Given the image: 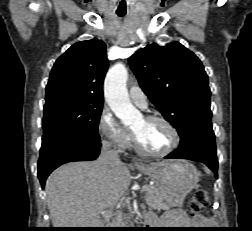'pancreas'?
I'll use <instances>...</instances> for the list:
<instances>
[{
	"label": "pancreas",
	"mask_w": 252,
	"mask_h": 231,
	"mask_svg": "<svg viewBox=\"0 0 252 231\" xmlns=\"http://www.w3.org/2000/svg\"><path fill=\"white\" fill-rule=\"evenodd\" d=\"M148 189L146 190L145 200L148 203V205L152 206L153 208H163L161 198L159 196L158 190L155 186H147ZM115 222L117 225L124 224L122 219V213L119 212L115 216Z\"/></svg>",
	"instance_id": "cf45deb5"
}]
</instances>
